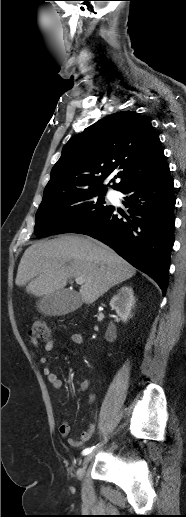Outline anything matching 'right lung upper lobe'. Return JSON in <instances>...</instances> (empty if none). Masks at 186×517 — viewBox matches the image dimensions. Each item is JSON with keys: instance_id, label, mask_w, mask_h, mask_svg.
<instances>
[{"instance_id": "1", "label": "right lung upper lobe", "mask_w": 186, "mask_h": 517, "mask_svg": "<svg viewBox=\"0 0 186 517\" xmlns=\"http://www.w3.org/2000/svg\"><path fill=\"white\" fill-rule=\"evenodd\" d=\"M167 165L157 132L148 117L120 111L72 137L51 170L43 201L89 190L106 191L103 181L118 172L126 186L160 171Z\"/></svg>"}]
</instances>
